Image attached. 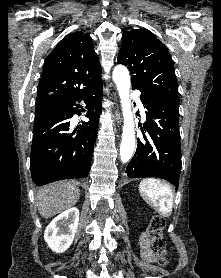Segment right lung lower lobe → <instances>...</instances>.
Wrapping results in <instances>:
<instances>
[{
	"label": "right lung lower lobe",
	"instance_id": "1",
	"mask_svg": "<svg viewBox=\"0 0 221 278\" xmlns=\"http://www.w3.org/2000/svg\"><path fill=\"white\" fill-rule=\"evenodd\" d=\"M102 81L68 95L46 98L36 106H47L53 111L34 120L30 154L32 180L42 186L61 179L85 178L89 174L94 144L98 132ZM90 105L81 128L70 130V119L80 114L79 102Z\"/></svg>",
	"mask_w": 221,
	"mask_h": 278
}]
</instances>
